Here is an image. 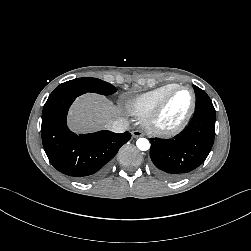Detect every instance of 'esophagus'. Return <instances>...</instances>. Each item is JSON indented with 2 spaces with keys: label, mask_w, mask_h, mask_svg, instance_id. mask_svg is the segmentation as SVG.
I'll return each mask as SVG.
<instances>
[{
  "label": "esophagus",
  "mask_w": 251,
  "mask_h": 251,
  "mask_svg": "<svg viewBox=\"0 0 251 251\" xmlns=\"http://www.w3.org/2000/svg\"><path fill=\"white\" fill-rule=\"evenodd\" d=\"M143 135H144V133L142 131H140V130H134V131H132V137L133 138H138V137H141Z\"/></svg>",
  "instance_id": "esophagus-1"
}]
</instances>
